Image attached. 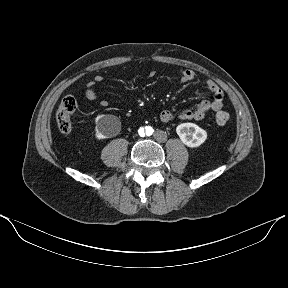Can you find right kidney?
Wrapping results in <instances>:
<instances>
[{
	"label": "right kidney",
	"mask_w": 288,
	"mask_h": 288,
	"mask_svg": "<svg viewBox=\"0 0 288 288\" xmlns=\"http://www.w3.org/2000/svg\"><path fill=\"white\" fill-rule=\"evenodd\" d=\"M116 121V117L112 115H98L96 117V138L106 139L113 136L112 125Z\"/></svg>",
	"instance_id": "obj_1"
}]
</instances>
